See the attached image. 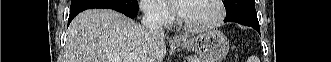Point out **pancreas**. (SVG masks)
I'll return each instance as SVG.
<instances>
[{
	"mask_svg": "<svg viewBox=\"0 0 331 62\" xmlns=\"http://www.w3.org/2000/svg\"><path fill=\"white\" fill-rule=\"evenodd\" d=\"M189 62H204L201 58H198L196 56L189 57Z\"/></svg>",
	"mask_w": 331,
	"mask_h": 62,
	"instance_id": "cf45deb5",
	"label": "pancreas"
}]
</instances>
